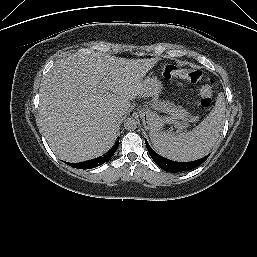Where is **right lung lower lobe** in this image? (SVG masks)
I'll list each match as a JSON object with an SVG mask.
<instances>
[{"label": "right lung lower lobe", "instance_id": "1", "mask_svg": "<svg viewBox=\"0 0 257 257\" xmlns=\"http://www.w3.org/2000/svg\"><path fill=\"white\" fill-rule=\"evenodd\" d=\"M118 145H119V139L116 141V143L112 147V149L108 153H106L104 156L98 157L96 159L88 160L85 162H80V163H67L66 162V164H68L74 168H78V169H90V168L100 166L103 163L108 162L110 160V158L115 153Z\"/></svg>", "mask_w": 257, "mask_h": 257}]
</instances>
